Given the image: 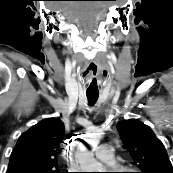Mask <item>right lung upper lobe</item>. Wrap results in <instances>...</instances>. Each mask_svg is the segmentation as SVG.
<instances>
[{"instance_id": "right-lung-upper-lobe-1", "label": "right lung upper lobe", "mask_w": 173, "mask_h": 173, "mask_svg": "<svg viewBox=\"0 0 173 173\" xmlns=\"http://www.w3.org/2000/svg\"><path fill=\"white\" fill-rule=\"evenodd\" d=\"M67 135L57 118H47L23 133L10 155L7 173L58 170V152Z\"/></svg>"}]
</instances>
